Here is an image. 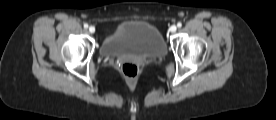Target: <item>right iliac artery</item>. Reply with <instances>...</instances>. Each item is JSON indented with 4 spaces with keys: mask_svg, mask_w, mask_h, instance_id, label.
Instances as JSON below:
<instances>
[{
    "mask_svg": "<svg viewBox=\"0 0 276 120\" xmlns=\"http://www.w3.org/2000/svg\"><path fill=\"white\" fill-rule=\"evenodd\" d=\"M84 28H85V29L88 28V24H87V23L84 24Z\"/></svg>",
    "mask_w": 276,
    "mask_h": 120,
    "instance_id": "right-iliac-artery-1",
    "label": "right iliac artery"
}]
</instances>
